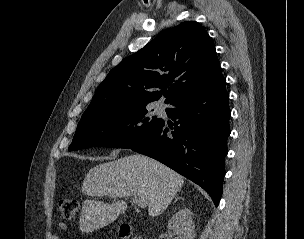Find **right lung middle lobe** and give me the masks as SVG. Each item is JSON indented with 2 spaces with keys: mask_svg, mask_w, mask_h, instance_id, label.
<instances>
[{
  "mask_svg": "<svg viewBox=\"0 0 304 239\" xmlns=\"http://www.w3.org/2000/svg\"><path fill=\"white\" fill-rule=\"evenodd\" d=\"M161 121L148 114L146 105L111 108L81 118L68 150L93 146L130 148L154 132Z\"/></svg>",
  "mask_w": 304,
  "mask_h": 239,
  "instance_id": "obj_1",
  "label": "right lung middle lobe"
}]
</instances>
